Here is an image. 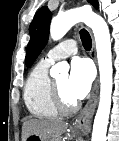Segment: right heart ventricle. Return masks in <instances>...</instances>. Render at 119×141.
<instances>
[{"label": "right heart ventricle", "instance_id": "e07e8e85", "mask_svg": "<svg viewBox=\"0 0 119 141\" xmlns=\"http://www.w3.org/2000/svg\"><path fill=\"white\" fill-rule=\"evenodd\" d=\"M51 63L39 61L30 72L24 87V101L28 111L40 119H53L58 116L54 108L50 89L52 80L48 74Z\"/></svg>", "mask_w": 119, "mask_h": 141}]
</instances>
